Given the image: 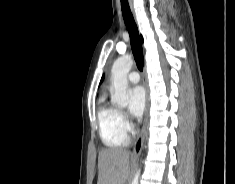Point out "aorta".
I'll use <instances>...</instances> for the list:
<instances>
[{
  "instance_id": "762f6f07",
  "label": "aorta",
  "mask_w": 235,
  "mask_h": 184,
  "mask_svg": "<svg viewBox=\"0 0 235 184\" xmlns=\"http://www.w3.org/2000/svg\"><path fill=\"white\" fill-rule=\"evenodd\" d=\"M132 64L131 56H123V58H118L112 66L111 84L114 88V94L111 102L120 108H126L129 104L127 74L130 72ZM139 176L140 170L135 174L131 184H139Z\"/></svg>"
}]
</instances>
